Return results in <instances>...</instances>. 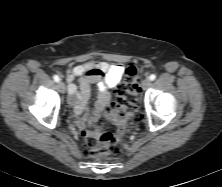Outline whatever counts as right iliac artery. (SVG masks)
<instances>
[{
	"label": "right iliac artery",
	"instance_id": "obj_1",
	"mask_svg": "<svg viewBox=\"0 0 222 187\" xmlns=\"http://www.w3.org/2000/svg\"><path fill=\"white\" fill-rule=\"evenodd\" d=\"M53 79H54L55 82H59L60 81V78H59L58 75H54Z\"/></svg>",
	"mask_w": 222,
	"mask_h": 187
}]
</instances>
